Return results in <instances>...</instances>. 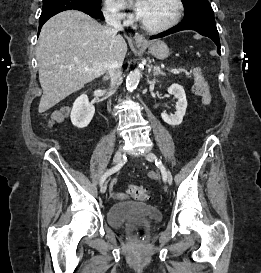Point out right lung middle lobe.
<instances>
[{"mask_svg":"<svg viewBox=\"0 0 261 273\" xmlns=\"http://www.w3.org/2000/svg\"><path fill=\"white\" fill-rule=\"evenodd\" d=\"M64 0H43L42 12H51L58 9ZM87 4L101 8V0H84Z\"/></svg>","mask_w":261,"mask_h":273,"instance_id":"dd1d6c3e","label":"right lung middle lobe"}]
</instances>
